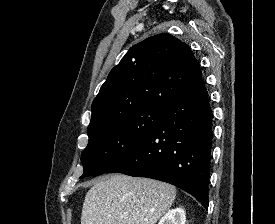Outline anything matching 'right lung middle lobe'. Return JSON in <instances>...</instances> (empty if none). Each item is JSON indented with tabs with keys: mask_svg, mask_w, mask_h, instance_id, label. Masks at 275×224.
<instances>
[{
	"mask_svg": "<svg viewBox=\"0 0 275 224\" xmlns=\"http://www.w3.org/2000/svg\"><path fill=\"white\" fill-rule=\"evenodd\" d=\"M166 109L144 107L89 127L88 146L82 153L84 173L96 176L131 153L154 129Z\"/></svg>",
	"mask_w": 275,
	"mask_h": 224,
	"instance_id": "dd1d6c3e",
	"label": "right lung middle lobe"
}]
</instances>
